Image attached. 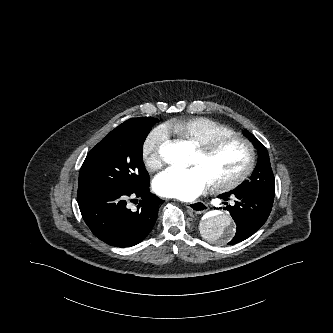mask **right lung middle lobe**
<instances>
[{
	"instance_id": "obj_1",
	"label": "right lung middle lobe",
	"mask_w": 333,
	"mask_h": 333,
	"mask_svg": "<svg viewBox=\"0 0 333 333\" xmlns=\"http://www.w3.org/2000/svg\"><path fill=\"white\" fill-rule=\"evenodd\" d=\"M153 117L123 123L106 135L87 155L79 173L78 190L94 186L134 189L149 176L142 161V147Z\"/></svg>"
}]
</instances>
